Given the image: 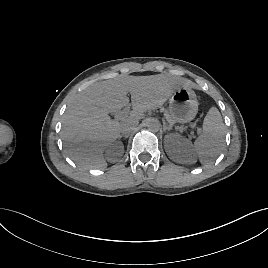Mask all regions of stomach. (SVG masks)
Returning a JSON list of instances; mask_svg holds the SVG:
<instances>
[{
    "mask_svg": "<svg viewBox=\"0 0 268 268\" xmlns=\"http://www.w3.org/2000/svg\"><path fill=\"white\" fill-rule=\"evenodd\" d=\"M198 105L195 92L188 86H182L171 96L169 117L175 123H188L197 115Z\"/></svg>",
    "mask_w": 268,
    "mask_h": 268,
    "instance_id": "obj_1",
    "label": "stomach"
}]
</instances>
